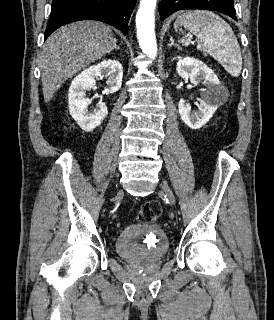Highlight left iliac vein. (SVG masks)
<instances>
[{"mask_svg": "<svg viewBox=\"0 0 274 320\" xmlns=\"http://www.w3.org/2000/svg\"><path fill=\"white\" fill-rule=\"evenodd\" d=\"M162 191L165 193V195L168 197L169 201L171 204H175V197L172 193V191L170 190L169 186L166 183H162L160 185Z\"/></svg>", "mask_w": 274, "mask_h": 320, "instance_id": "4c4485c4", "label": "left iliac vein"}]
</instances>
